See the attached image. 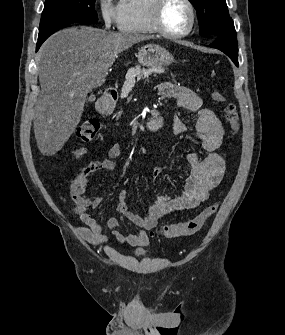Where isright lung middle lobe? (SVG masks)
Returning <instances> with one entry per match:
<instances>
[{
	"instance_id": "obj_1",
	"label": "right lung middle lobe",
	"mask_w": 285,
	"mask_h": 335,
	"mask_svg": "<svg viewBox=\"0 0 285 335\" xmlns=\"http://www.w3.org/2000/svg\"><path fill=\"white\" fill-rule=\"evenodd\" d=\"M96 0H46L40 21L39 36L67 23H96Z\"/></svg>"
}]
</instances>
